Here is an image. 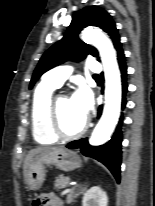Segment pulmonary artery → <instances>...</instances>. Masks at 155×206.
Listing matches in <instances>:
<instances>
[{
  "label": "pulmonary artery",
  "instance_id": "pulmonary-artery-1",
  "mask_svg": "<svg viewBox=\"0 0 155 206\" xmlns=\"http://www.w3.org/2000/svg\"><path fill=\"white\" fill-rule=\"evenodd\" d=\"M87 67L93 72H99L101 69L100 64L95 59H91ZM72 70L70 65L55 67L44 75V81L56 87H60L72 73Z\"/></svg>",
  "mask_w": 155,
  "mask_h": 206
}]
</instances>
